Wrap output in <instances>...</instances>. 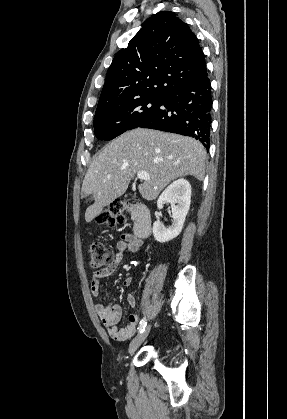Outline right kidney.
<instances>
[{"mask_svg":"<svg viewBox=\"0 0 287 419\" xmlns=\"http://www.w3.org/2000/svg\"><path fill=\"white\" fill-rule=\"evenodd\" d=\"M166 202L172 204V225L166 228L159 219L153 224L154 238L160 243L174 239L182 231L190 208V183L185 179H178L170 184L157 200V208L162 209Z\"/></svg>","mask_w":287,"mask_h":419,"instance_id":"obj_1","label":"right kidney"}]
</instances>
